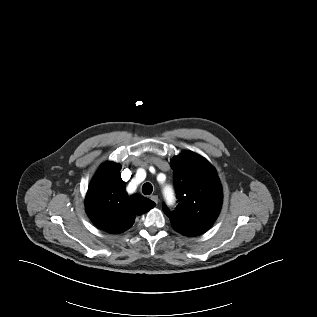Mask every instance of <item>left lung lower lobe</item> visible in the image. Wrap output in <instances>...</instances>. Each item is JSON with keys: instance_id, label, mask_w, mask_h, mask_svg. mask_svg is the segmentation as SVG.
Masks as SVG:
<instances>
[{"instance_id": "left-lung-lower-lobe-1", "label": "left lung lower lobe", "mask_w": 317, "mask_h": 317, "mask_svg": "<svg viewBox=\"0 0 317 317\" xmlns=\"http://www.w3.org/2000/svg\"><path fill=\"white\" fill-rule=\"evenodd\" d=\"M178 232L183 234V235H186V236H197V235H200V234H203L204 230H199V229H195V228H190V227H178L177 228Z\"/></svg>"}]
</instances>
